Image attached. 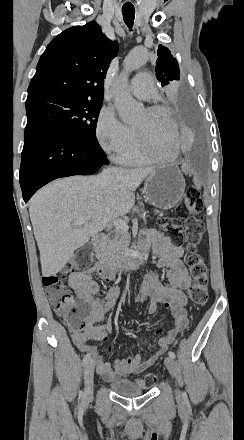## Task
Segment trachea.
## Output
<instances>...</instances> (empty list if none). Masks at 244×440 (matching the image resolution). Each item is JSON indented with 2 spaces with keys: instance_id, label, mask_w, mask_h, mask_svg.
<instances>
[{
  "instance_id": "obj_1",
  "label": "trachea",
  "mask_w": 244,
  "mask_h": 440,
  "mask_svg": "<svg viewBox=\"0 0 244 440\" xmlns=\"http://www.w3.org/2000/svg\"><path fill=\"white\" fill-rule=\"evenodd\" d=\"M122 15H123L125 24L129 28H132L134 18H135V10L132 8H122Z\"/></svg>"
}]
</instances>
